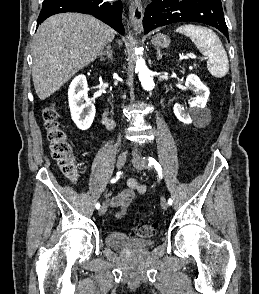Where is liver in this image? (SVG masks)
I'll return each mask as SVG.
<instances>
[{
	"label": "liver",
	"instance_id": "6515ba94",
	"mask_svg": "<svg viewBox=\"0 0 259 294\" xmlns=\"http://www.w3.org/2000/svg\"><path fill=\"white\" fill-rule=\"evenodd\" d=\"M114 37L111 27L90 15L61 13L46 19L36 32L33 47L32 78L39 99L58 91Z\"/></svg>",
	"mask_w": 259,
	"mask_h": 294
}]
</instances>
